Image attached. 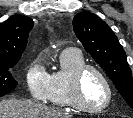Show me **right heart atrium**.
<instances>
[{"label": "right heart atrium", "mask_w": 133, "mask_h": 118, "mask_svg": "<svg viewBox=\"0 0 133 118\" xmlns=\"http://www.w3.org/2000/svg\"><path fill=\"white\" fill-rule=\"evenodd\" d=\"M27 90L34 101L45 102L49 94V74L39 59H33L25 70Z\"/></svg>", "instance_id": "right-heart-atrium-1"}]
</instances>
